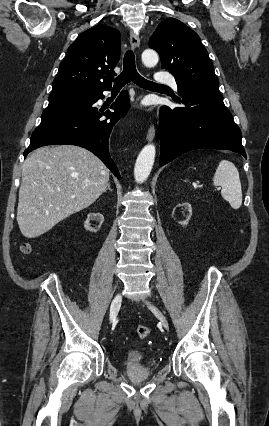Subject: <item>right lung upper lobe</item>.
I'll return each instance as SVG.
<instances>
[{"label":"right lung upper lobe","mask_w":269,"mask_h":426,"mask_svg":"<svg viewBox=\"0 0 269 426\" xmlns=\"http://www.w3.org/2000/svg\"><path fill=\"white\" fill-rule=\"evenodd\" d=\"M119 57V31L103 24L93 26L68 48L53 81L52 92L92 93L110 89Z\"/></svg>","instance_id":"obj_1"}]
</instances>
